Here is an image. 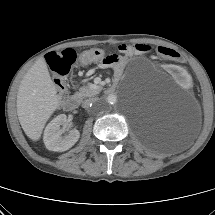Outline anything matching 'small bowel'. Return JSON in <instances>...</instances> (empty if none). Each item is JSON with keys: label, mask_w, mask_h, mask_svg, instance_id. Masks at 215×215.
<instances>
[{"label": "small bowel", "mask_w": 215, "mask_h": 215, "mask_svg": "<svg viewBox=\"0 0 215 215\" xmlns=\"http://www.w3.org/2000/svg\"><path fill=\"white\" fill-rule=\"evenodd\" d=\"M121 46H126L125 50L121 52L122 56L110 55L100 62L101 67H112L116 75H120L122 73L125 64L132 56L148 55L152 51V48L146 44H136L134 46L130 45Z\"/></svg>", "instance_id": "small-bowel-1"}]
</instances>
